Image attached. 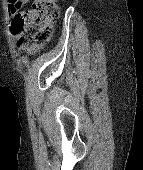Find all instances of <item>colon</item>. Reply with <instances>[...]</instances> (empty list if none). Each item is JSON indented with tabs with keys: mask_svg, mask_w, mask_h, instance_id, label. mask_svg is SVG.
<instances>
[{
	"mask_svg": "<svg viewBox=\"0 0 143 170\" xmlns=\"http://www.w3.org/2000/svg\"><path fill=\"white\" fill-rule=\"evenodd\" d=\"M58 13L57 0H34L30 10L17 14L12 28L21 33L22 49L33 53L43 46L52 34Z\"/></svg>",
	"mask_w": 143,
	"mask_h": 170,
	"instance_id": "5ec220e1",
	"label": "colon"
}]
</instances>
